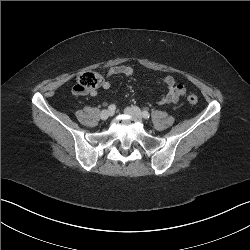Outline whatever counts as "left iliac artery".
I'll use <instances>...</instances> for the list:
<instances>
[{
    "label": "left iliac artery",
    "instance_id": "44dca946",
    "mask_svg": "<svg viewBox=\"0 0 250 250\" xmlns=\"http://www.w3.org/2000/svg\"><path fill=\"white\" fill-rule=\"evenodd\" d=\"M142 116H143L145 119H149L150 114H149L148 111L144 110V111L142 112Z\"/></svg>",
    "mask_w": 250,
    "mask_h": 250
}]
</instances>
